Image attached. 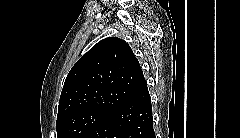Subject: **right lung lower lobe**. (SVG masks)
<instances>
[{
	"label": "right lung lower lobe",
	"instance_id": "1",
	"mask_svg": "<svg viewBox=\"0 0 240 138\" xmlns=\"http://www.w3.org/2000/svg\"><path fill=\"white\" fill-rule=\"evenodd\" d=\"M148 88L109 110L86 138H154Z\"/></svg>",
	"mask_w": 240,
	"mask_h": 138
}]
</instances>
